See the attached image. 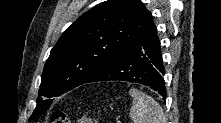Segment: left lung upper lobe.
<instances>
[{
    "label": "left lung upper lobe",
    "instance_id": "obj_1",
    "mask_svg": "<svg viewBox=\"0 0 221 123\" xmlns=\"http://www.w3.org/2000/svg\"><path fill=\"white\" fill-rule=\"evenodd\" d=\"M152 24L151 14L140 0H108L79 17L50 52L30 118L44 113L52 97L84 84Z\"/></svg>",
    "mask_w": 221,
    "mask_h": 123
}]
</instances>
